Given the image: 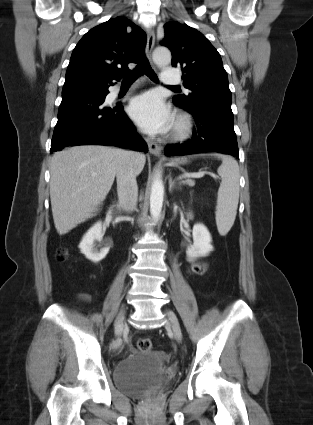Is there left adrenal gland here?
<instances>
[{"mask_svg":"<svg viewBox=\"0 0 313 425\" xmlns=\"http://www.w3.org/2000/svg\"><path fill=\"white\" fill-rule=\"evenodd\" d=\"M169 192H172V189L174 187H180V182H176L175 180H172L171 175L169 176Z\"/></svg>","mask_w":313,"mask_h":425,"instance_id":"a2214340","label":"left adrenal gland"}]
</instances>
